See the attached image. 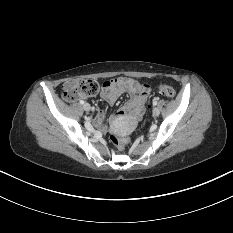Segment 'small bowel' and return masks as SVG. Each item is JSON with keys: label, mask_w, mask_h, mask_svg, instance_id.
Returning <instances> with one entry per match:
<instances>
[{"label": "small bowel", "mask_w": 233, "mask_h": 233, "mask_svg": "<svg viewBox=\"0 0 233 233\" xmlns=\"http://www.w3.org/2000/svg\"><path fill=\"white\" fill-rule=\"evenodd\" d=\"M124 92L129 94V99L118 112V116H127L133 121L139 120L144 113L145 104L150 94V86L132 78L121 76L105 82L101 95L109 105H113ZM105 116L106 111L101 110L95 117V124L102 130H105L103 125Z\"/></svg>", "instance_id": "small-bowel-1"}]
</instances>
